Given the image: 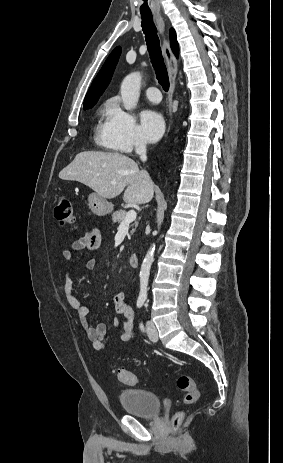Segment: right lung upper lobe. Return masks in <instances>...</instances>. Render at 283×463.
I'll return each mask as SVG.
<instances>
[{
	"instance_id": "obj_1",
	"label": "right lung upper lobe",
	"mask_w": 283,
	"mask_h": 463,
	"mask_svg": "<svg viewBox=\"0 0 283 463\" xmlns=\"http://www.w3.org/2000/svg\"><path fill=\"white\" fill-rule=\"evenodd\" d=\"M170 39H171V48L173 52L175 53V55L177 56L179 48H178V43L176 40V34H175L174 29L170 30ZM120 54H121L120 47H116L111 52V54L105 61L104 65L102 66L101 70L97 74L96 78L93 80L92 85L86 94L84 106L96 104L99 97L102 95V93L104 92V90L106 89V87L108 86L112 78V75H113L115 66L118 62Z\"/></svg>"
}]
</instances>
